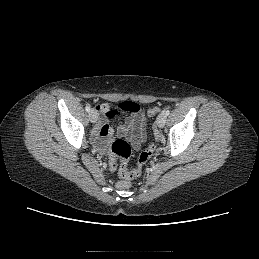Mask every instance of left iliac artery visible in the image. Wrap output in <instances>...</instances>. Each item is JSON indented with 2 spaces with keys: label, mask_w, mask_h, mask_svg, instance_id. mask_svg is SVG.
I'll return each mask as SVG.
<instances>
[{
  "label": "left iliac artery",
  "mask_w": 259,
  "mask_h": 259,
  "mask_svg": "<svg viewBox=\"0 0 259 259\" xmlns=\"http://www.w3.org/2000/svg\"><path fill=\"white\" fill-rule=\"evenodd\" d=\"M164 113H165L166 116H168V115L170 114V110H169V109H166V110L164 111Z\"/></svg>",
  "instance_id": "left-iliac-artery-1"
}]
</instances>
